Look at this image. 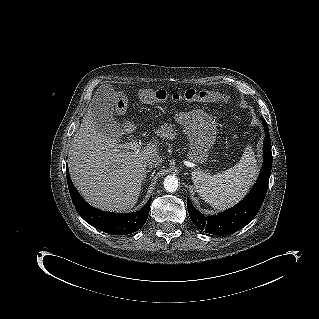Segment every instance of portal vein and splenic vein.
I'll return each instance as SVG.
<instances>
[{
	"label": "portal vein and splenic vein",
	"instance_id": "1",
	"mask_svg": "<svg viewBox=\"0 0 319 319\" xmlns=\"http://www.w3.org/2000/svg\"><path fill=\"white\" fill-rule=\"evenodd\" d=\"M118 148H126L138 152L141 149V145L137 141H132L130 143L120 144L118 145Z\"/></svg>",
	"mask_w": 319,
	"mask_h": 319
}]
</instances>
